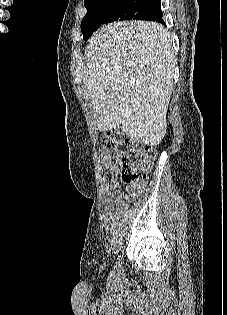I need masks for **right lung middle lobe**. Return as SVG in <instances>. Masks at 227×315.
Instances as JSON below:
<instances>
[{
  "label": "right lung middle lobe",
  "mask_w": 227,
  "mask_h": 315,
  "mask_svg": "<svg viewBox=\"0 0 227 315\" xmlns=\"http://www.w3.org/2000/svg\"><path fill=\"white\" fill-rule=\"evenodd\" d=\"M160 0H91L84 1L87 13L81 23L87 40L101 25L122 20L155 21Z\"/></svg>",
  "instance_id": "1"
}]
</instances>
